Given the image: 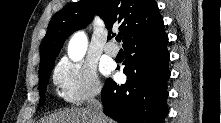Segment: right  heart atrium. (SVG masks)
Here are the masks:
<instances>
[{
	"label": "right heart atrium",
	"instance_id": "obj_1",
	"mask_svg": "<svg viewBox=\"0 0 221 123\" xmlns=\"http://www.w3.org/2000/svg\"><path fill=\"white\" fill-rule=\"evenodd\" d=\"M53 81L63 100L71 106L92 101L102 91L95 66L87 62L61 60L54 69Z\"/></svg>",
	"mask_w": 221,
	"mask_h": 123
}]
</instances>
